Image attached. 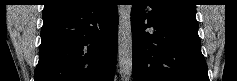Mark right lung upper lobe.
<instances>
[{"label":"right lung upper lobe","instance_id":"obj_1","mask_svg":"<svg viewBox=\"0 0 237 81\" xmlns=\"http://www.w3.org/2000/svg\"><path fill=\"white\" fill-rule=\"evenodd\" d=\"M84 0H46L42 15L73 9L80 5Z\"/></svg>","mask_w":237,"mask_h":81}]
</instances>
